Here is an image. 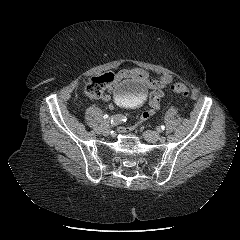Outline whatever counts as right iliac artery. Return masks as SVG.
Segmentation results:
<instances>
[{"label":"right iliac artery","instance_id":"1","mask_svg":"<svg viewBox=\"0 0 240 240\" xmlns=\"http://www.w3.org/2000/svg\"><path fill=\"white\" fill-rule=\"evenodd\" d=\"M127 120V117L121 114L115 115L113 116V118H109L108 120L105 119V121H101L99 123V126L97 127L98 129L96 130V133L99 135L101 133L102 128L104 127V125H106L107 123H113V124H119L122 122H125Z\"/></svg>","mask_w":240,"mask_h":240}]
</instances>
